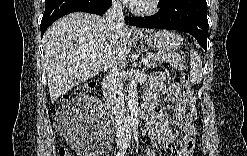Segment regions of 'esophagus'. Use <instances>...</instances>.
<instances>
[{
    "instance_id": "obj_1",
    "label": "esophagus",
    "mask_w": 247,
    "mask_h": 156,
    "mask_svg": "<svg viewBox=\"0 0 247 156\" xmlns=\"http://www.w3.org/2000/svg\"><path fill=\"white\" fill-rule=\"evenodd\" d=\"M131 31L133 33H139L140 32V30L137 27H135V26H131Z\"/></svg>"
}]
</instances>
